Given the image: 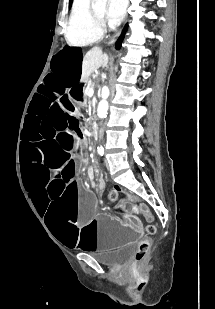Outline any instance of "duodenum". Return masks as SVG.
Instances as JSON below:
<instances>
[{
	"label": "duodenum",
	"mask_w": 215,
	"mask_h": 309,
	"mask_svg": "<svg viewBox=\"0 0 215 309\" xmlns=\"http://www.w3.org/2000/svg\"><path fill=\"white\" fill-rule=\"evenodd\" d=\"M92 129H93L94 136L98 138L100 134V130H99V122L96 119L92 120Z\"/></svg>",
	"instance_id": "duodenum-1"
}]
</instances>
